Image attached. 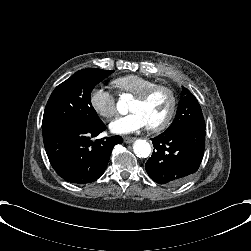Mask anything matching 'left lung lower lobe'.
<instances>
[{
  "label": "left lung lower lobe",
  "instance_id": "1",
  "mask_svg": "<svg viewBox=\"0 0 251 251\" xmlns=\"http://www.w3.org/2000/svg\"><path fill=\"white\" fill-rule=\"evenodd\" d=\"M155 151L145 164L149 177L158 184L176 186L195 173L205 148V129L186 127L152 139Z\"/></svg>",
  "mask_w": 251,
  "mask_h": 251
}]
</instances>
